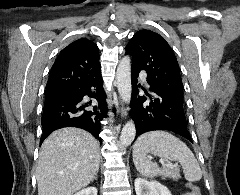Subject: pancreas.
I'll use <instances>...</instances> for the list:
<instances>
[{
    "label": "pancreas",
    "instance_id": "1",
    "mask_svg": "<svg viewBox=\"0 0 240 195\" xmlns=\"http://www.w3.org/2000/svg\"><path fill=\"white\" fill-rule=\"evenodd\" d=\"M162 171V179L172 177L174 181H178L179 177H181L178 167H163Z\"/></svg>",
    "mask_w": 240,
    "mask_h": 195
}]
</instances>
